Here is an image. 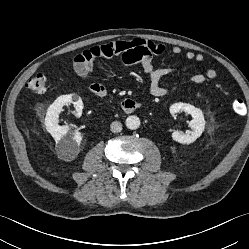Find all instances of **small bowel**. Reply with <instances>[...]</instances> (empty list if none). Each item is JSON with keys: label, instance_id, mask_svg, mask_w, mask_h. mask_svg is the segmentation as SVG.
<instances>
[{"label": "small bowel", "instance_id": "small-bowel-1", "mask_svg": "<svg viewBox=\"0 0 249 249\" xmlns=\"http://www.w3.org/2000/svg\"><path fill=\"white\" fill-rule=\"evenodd\" d=\"M179 46L172 48V53L178 55L181 53ZM165 52V46L150 40L132 39V40H113L106 44L97 45L91 49L78 54L74 60L76 74L82 79H88L92 73L94 62L98 59H109L114 56H120L124 66L140 65L143 72L148 76L149 92L152 96L162 97L167 94V88L161 84L164 77L175 72L171 67H156L153 59L155 56L162 55ZM185 58L190 61L203 62L204 56L200 53L187 51ZM217 76L214 69H207L204 73H195L190 77L194 84H202L212 80ZM91 86L105 88L100 83H94Z\"/></svg>", "mask_w": 249, "mask_h": 249}]
</instances>
